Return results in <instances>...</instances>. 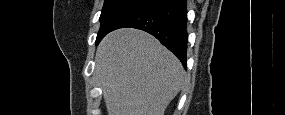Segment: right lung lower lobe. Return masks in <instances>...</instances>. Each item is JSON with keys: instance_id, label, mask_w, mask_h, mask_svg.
<instances>
[{"instance_id": "1", "label": "right lung lower lobe", "mask_w": 285, "mask_h": 115, "mask_svg": "<svg viewBox=\"0 0 285 115\" xmlns=\"http://www.w3.org/2000/svg\"><path fill=\"white\" fill-rule=\"evenodd\" d=\"M186 23V0H153L125 17L111 31L123 27L144 30L171 50L186 68Z\"/></svg>"}]
</instances>
